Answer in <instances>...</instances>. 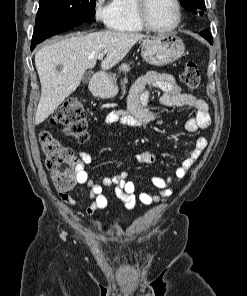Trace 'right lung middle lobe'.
<instances>
[{
    "label": "right lung middle lobe",
    "mask_w": 247,
    "mask_h": 296,
    "mask_svg": "<svg viewBox=\"0 0 247 296\" xmlns=\"http://www.w3.org/2000/svg\"><path fill=\"white\" fill-rule=\"evenodd\" d=\"M96 0H40L32 43L67 31L95 14Z\"/></svg>",
    "instance_id": "dd1d6c3e"
}]
</instances>
